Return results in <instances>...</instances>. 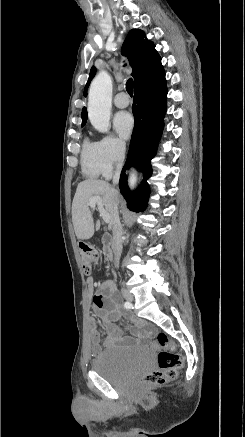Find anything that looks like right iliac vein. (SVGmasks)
<instances>
[{
    "label": "right iliac vein",
    "instance_id": "right-iliac-vein-1",
    "mask_svg": "<svg viewBox=\"0 0 245 437\" xmlns=\"http://www.w3.org/2000/svg\"><path fill=\"white\" fill-rule=\"evenodd\" d=\"M122 295L129 302H132L134 299L133 295L130 292H128L127 290H123Z\"/></svg>",
    "mask_w": 245,
    "mask_h": 437
}]
</instances>
